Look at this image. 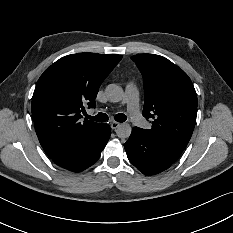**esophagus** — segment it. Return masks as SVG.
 <instances>
[{
    "label": "esophagus",
    "instance_id": "esophagus-1",
    "mask_svg": "<svg viewBox=\"0 0 233 233\" xmlns=\"http://www.w3.org/2000/svg\"><path fill=\"white\" fill-rule=\"evenodd\" d=\"M110 126L113 130H116L120 126V123L113 121L110 123Z\"/></svg>",
    "mask_w": 233,
    "mask_h": 233
}]
</instances>
